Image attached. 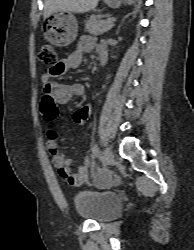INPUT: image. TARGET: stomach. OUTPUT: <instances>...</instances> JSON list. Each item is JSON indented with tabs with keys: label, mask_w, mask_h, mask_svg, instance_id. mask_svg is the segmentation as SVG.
Listing matches in <instances>:
<instances>
[{
	"label": "stomach",
	"mask_w": 194,
	"mask_h": 250,
	"mask_svg": "<svg viewBox=\"0 0 194 250\" xmlns=\"http://www.w3.org/2000/svg\"><path fill=\"white\" fill-rule=\"evenodd\" d=\"M105 3L112 7L118 8L122 0H104ZM135 0H124L129 4ZM44 37L55 46L66 47L71 44L78 34V23L71 12L56 11L46 18L43 28Z\"/></svg>",
	"instance_id": "1"
}]
</instances>
